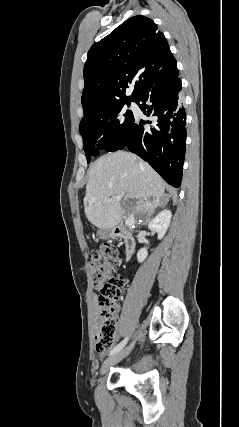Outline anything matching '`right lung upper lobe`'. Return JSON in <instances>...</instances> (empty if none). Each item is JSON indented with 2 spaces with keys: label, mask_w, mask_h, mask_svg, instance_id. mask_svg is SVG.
Listing matches in <instances>:
<instances>
[{
  "label": "right lung upper lobe",
  "mask_w": 239,
  "mask_h": 427,
  "mask_svg": "<svg viewBox=\"0 0 239 427\" xmlns=\"http://www.w3.org/2000/svg\"><path fill=\"white\" fill-rule=\"evenodd\" d=\"M176 73V60L156 24L144 16L131 17L88 52L81 98L84 114L104 102L136 99L144 89ZM131 83L134 90L126 96Z\"/></svg>",
  "instance_id": "obj_1"
}]
</instances>
